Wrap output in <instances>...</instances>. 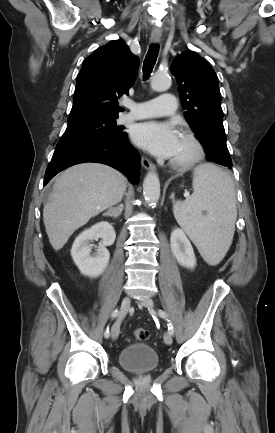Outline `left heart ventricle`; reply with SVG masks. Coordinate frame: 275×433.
<instances>
[{"label":"left heart ventricle","mask_w":275,"mask_h":433,"mask_svg":"<svg viewBox=\"0 0 275 433\" xmlns=\"http://www.w3.org/2000/svg\"><path fill=\"white\" fill-rule=\"evenodd\" d=\"M193 154V147L191 143L182 135L179 136L177 147L172 160L184 161Z\"/></svg>","instance_id":"1"}]
</instances>
